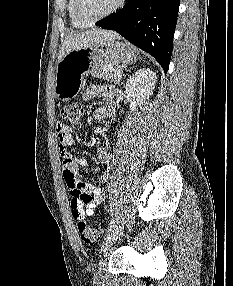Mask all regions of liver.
Listing matches in <instances>:
<instances>
[{
    "label": "liver",
    "mask_w": 233,
    "mask_h": 286,
    "mask_svg": "<svg viewBox=\"0 0 233 286\" xmlns=\"http://www.w3.org/2000/svg\"><path fill=\"white\" fill-rule=\"evenodd\" d=\"M119 38L120 36L115 31L100 28L70 34L65 38V41L59 50L58 61L72 50L90 47L106 40Z\"/></svg>",
    "instance_id": "liver-1"
}]
</instances>
